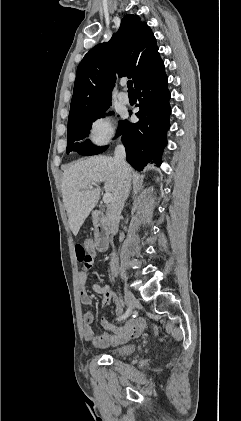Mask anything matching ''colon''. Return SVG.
I'll list each match as a JSON object with an SVG mask.
<instances>
[{"label":"colon","mask_w":241,"mask_h":421,"mask_svg":"<svg viewBox=\"0 0 241 421\" xmlns=\"http://www.w3.org/2000/svg\"><path fill=\"white\" fill-rule=\"evenodd\" d=\"M75 253L79 262L86 266H92L94 257V244L92 241L88 240L84 243L76 244Z\"/></svg>","instance_id":"1"}]
</instances>
